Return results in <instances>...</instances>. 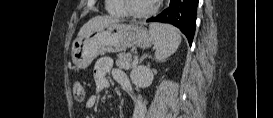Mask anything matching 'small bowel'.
<instances>
[{"mask_svg":"<svg viewBox=\"0 0 273 118\" xmlns=\"http://www.w3.org/2000/svg\"><path fill=\"white\" fill-rule=\"evenodd\" d=\"M112 77L130 94L134 101L131 118H144V108L133 92L131 82L128 76L120 69L113 67L112 59L109 57L99 58L94 66L93 80L95 83V94L88 97L86 101V108L93 109L98 102L97 94L108 86V76Z\"/></svg>","mask_w":273,"mask_h":118,"instance_id":"c3829d8e","label":"small bowel"}]
</instances>
